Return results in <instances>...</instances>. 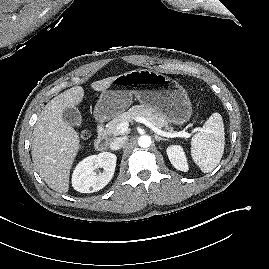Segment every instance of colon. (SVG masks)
Here are the masks:
<instances>
[{
  "instance_id": "5ec220e1",
  "label": "colon",
  "mask_w": 269,
  "mask_h": 269,
  "mask_svg": "<svg viewBox=\"0 0 269 269\" xmlns=\"http://www.w3.org/2000/svg\"><path fill=\"white\" fill-rule=\"evenodd\" d=\"M89 136H90L89 131L86 129L82 130L80 133V137H81L82 141L87 140L89 138Z\"/></svg>"
}]
</instances>
